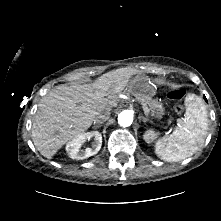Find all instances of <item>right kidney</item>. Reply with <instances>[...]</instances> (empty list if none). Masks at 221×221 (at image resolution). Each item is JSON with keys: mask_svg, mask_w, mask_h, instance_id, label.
<instances>
[{"mask_svg": "<svg viewBox=\"0 0 221 221\" xmlns=\"http://www.w3.org/2000/svg\"><path fill=\"white\" fill-rule=\"evenodd\" d=\"M94 137L92 148L80 150L82 144ZM102 145V135L98 131L81 133L66 145V152L72 159L83 160L98 153Z\"/></svg>", "mask_w": 221, "mask_h": 221, "instance_id": "right-kidney-1", "label": "right kidney"}]
</instances>
